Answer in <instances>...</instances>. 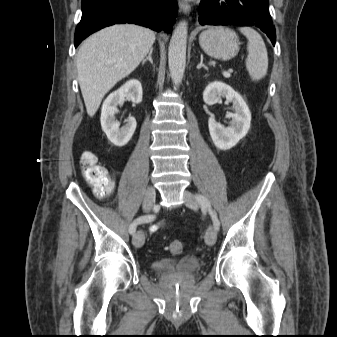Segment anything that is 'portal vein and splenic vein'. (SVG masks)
Segmentation results:
<instances>
[{"instance_id": "obj_1", "label": "portal vein and splenic vein", "mask_w": 337, "mask_h": 337, "mask_svg": "<svg viewBox=\"0 0 337 337\" xmlns=\"http://www.w3.org/2000/svg\"><path fill=\"white\" fill-rule=\"evenodd\" d=\"M223 75L227 78H229L231 76L230 72L224 71Z\"/></svg>"}]
</instances>
